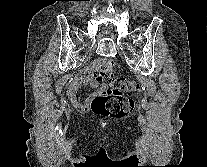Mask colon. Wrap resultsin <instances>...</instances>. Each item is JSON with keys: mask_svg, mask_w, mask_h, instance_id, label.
<instances>
[{"mask_svg": "<svg viewBox=\"0 0 207 167\" xmlns=\"http://www.w3.org/2000/svg\"><path fill=\"white\" fill-rule=\"evenodd\" d=\"M95 79L104 88L94 97L92 111L102 117L122 118L132 110L129 94L139 89L136 81L117 76L114 63L106 61L93 66Z\"/></svg>", "mask_w": 207, "mask_h": 167, "instance_id": "colon-1", "label": "colon"}]
</instances>
